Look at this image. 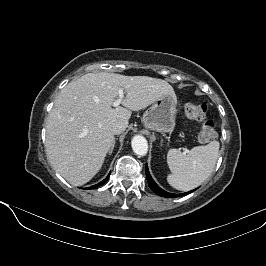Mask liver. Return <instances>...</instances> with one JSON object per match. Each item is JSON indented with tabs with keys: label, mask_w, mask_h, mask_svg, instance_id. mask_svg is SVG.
<instances>
[{
	"label": "liver",
	"mask_w": 266,
	"mask_h": 266,
	"mask_svg": "<svg viewBox=\"0 0 266 266\" xmlns=\"http://www.w3.org/2000/svg\"><path fill=\"white\" fill-rule=\"evenodd\" d=\"M126 91L122 106L112 107L118 89ZM176 99L165 80L148 76L88 73L70 82L55 100L46 124V154L53 168L70 184L81 186L101 169L114 136L109 126L163 96Z\"/></svg>",
	"instance_id": "obj_1"
}]
</instances>
